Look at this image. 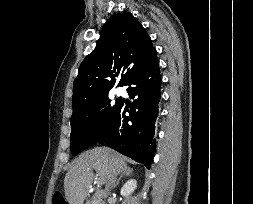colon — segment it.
Returning a JSON list of instances; mask_svg holds the SVG:
<instances>
[{
  "label": "colon",
  "instance_id": "5ec220e1",
  "mask_svg": "<svg viewBox=\"0 0 253 204\" xmlns=\"http://www.w3.org/2000/svg\"><path fill=\"white\" fill-rule=\"evenodd\" d=\"M52 204H66L62 193L56 191L52 197Z\"/></svg>",
  "mask_w": 253,
  "mask_h": 204
}]
</instances>
